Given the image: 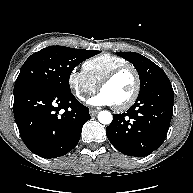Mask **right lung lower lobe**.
Returning <instances> with one entry per match:
<instances>
[{
	"label": "right lung lower lobe",
	"mask_w": 193,
	"mask_h": 193,
	"mask_svg": "<svg viewBox=\"0 0 193 193\" xmlns=\"http://www.w3.org/2000/svg\"><path fill=\"white\" fill-rule=\"evenodd\" d=\"M13 111L20 136L34 154L56 158L78 143L91 117L71 92L32 86L14 93Z\"/></svg>",
	"instance_id": "1"
}]
</instances>
